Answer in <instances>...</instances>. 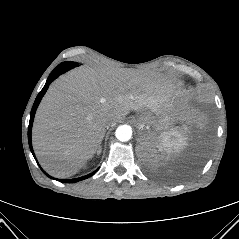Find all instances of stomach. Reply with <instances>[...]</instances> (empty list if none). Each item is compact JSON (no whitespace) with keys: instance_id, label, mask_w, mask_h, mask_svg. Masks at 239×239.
I'll use <instances>...</instances> for the list:
<instances>
[{"instance_id":"0dacf381","label":"stomach","mask_w":239,"mask_h":239,"mask_svg":"<svg viewBox=\"0 0 239 239\" xmlns=\"http://www.w3.org/2000/svg\"><path fill=\"white\" fill-rule=\"evenodd\" d=\"M178 121V112L165 110L155 114L153 123L149 127L153 135H158L168 130Z\"/></svg>"}]
</instances>
